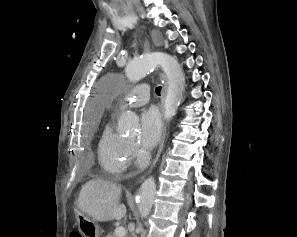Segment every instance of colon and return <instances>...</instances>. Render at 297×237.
<instances>
[{
    "label": "colon",
    "instance_id": "1",
    "mask_svg": "<svg viewBox=\"0 0 297 237\" xmlns=\"http://www.w3.org/2000/svg\"><path fill=\"white\" fill-rule=\"evenodd\" d=\"M70 237H81L78 233H72Z\"/></svg>",
    "mask_w": 297,
    "mask_h": 237
}]
</instances>
